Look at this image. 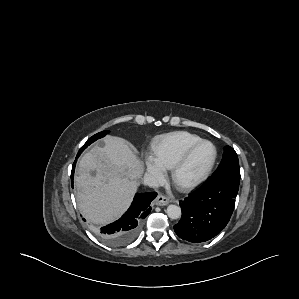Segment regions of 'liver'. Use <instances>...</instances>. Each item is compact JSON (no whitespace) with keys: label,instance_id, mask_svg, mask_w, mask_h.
<instances>
[{"label":"liver","instance_id":"obj_1","mask_svg":"<svg viewBox=\"0 0 299 299\" xmlns=\"http://www.w3.org/2000/svg\"><path fill=\"white\" fill-rule=\"evenodd\" d=\"M104 143L83 155L75 176L78 207L94 224L109 223L126 211L142 173L140 161L124 139L108 136Z\"/></svg>","mask_w":299,"mask_h":299}]
</instances>
